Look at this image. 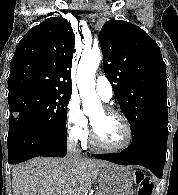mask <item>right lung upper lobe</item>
Here are the masks:
<instances>
[{"mask_svg":"<svg viewBox=\"0 0 178 195\" xmlns=\"http://www.w3.org/2000/svg\"><path fill=\"white\" fill-rule=\"evenodd\" d=\"M74 46L75 34L62 16L31 28L11 60L8 96L27 90L71 93Z\"/></svg>","mask_w":178,"mask_h":195,"instance_id":"right-lung-upper-lobe-1","label":"right lung upper lobe"}]
</instances>
